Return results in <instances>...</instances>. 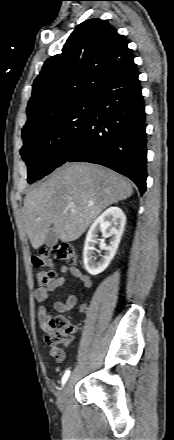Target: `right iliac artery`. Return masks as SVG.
<instances>
[{"instance_id": "obj_1", "label": "right iliac artery", "mask_w": 174, "mask_h": 440, "mask_svg": "<svg viewBox=\"0 0 174 440\" xmlns=\"http://www.w3.org/2000/svg\"><path fill=\"white\" fill-rule=\"evenodd\" d=\"M70 375V371H66L65 374L62 377V385L65 384V382L67 381L68 377Z\"/></svg>"}]
</instances>
